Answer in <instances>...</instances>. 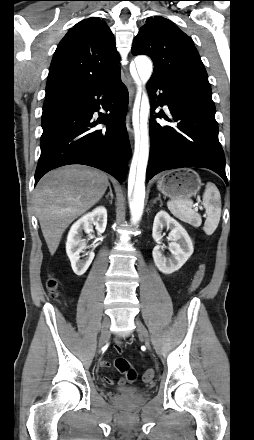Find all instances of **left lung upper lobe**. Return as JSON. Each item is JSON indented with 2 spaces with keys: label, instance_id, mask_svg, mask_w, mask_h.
Instances as JSON below:
<instances>
[{
  "label": "left lung upper lobe",
  "instance_id": "5c2ea615",
  "mask_svg": "<svg viewBox=\"0 0 254 440\" xmlns=\"http://www.w3.org/2000/svg\"><path fill=\"white\" fill-rule=\"evenodd\" d=\"M133 55H148L159 79L176 95H190L214 105L207 72L192 39L170 20L150 17L141 27L132 49Z\"/></svg>",
  "mask_w": 254,
  "mask_h": 440
}]
</instances>
